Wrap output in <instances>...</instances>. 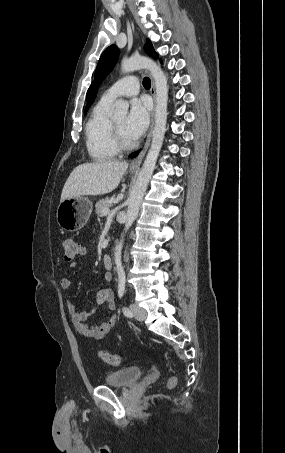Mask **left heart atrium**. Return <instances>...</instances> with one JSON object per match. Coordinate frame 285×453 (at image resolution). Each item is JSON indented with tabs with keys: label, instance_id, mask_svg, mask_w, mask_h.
<instances>
[{
	"label": "left heart atrium",
	"instance_id": "1",
	"mask_svg": "<svg viewBox=\"0 0 285 453\" xmlns=\"http://www.w3.org/2000/svg\"><path fill=\"white\" fill-rule=\"evenodd\" d=\"M149 124V104L144 99H134L126 120V130L131 138L138 139Z\"/></svg>",
	"mask_w": 285,
	"mask_h": 453
}]
</instances>
